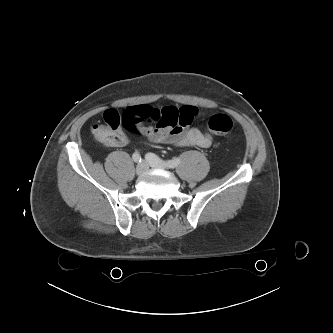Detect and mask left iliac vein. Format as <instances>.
<instances>
[{
	"label": "left iliac vein",
	"mask_w": 333,
	"mask_h": 333,
	"mask_svg": "<svg viewBox=\"0 0 333 333\" xmlns=\"http://www.w3.org/2000/svg\"><path fill=\"white\" fill-rule=\"evenodd\" d=\"M146 161L153 168H163V169L168 168V166L164 161H162L160 158H158L153 154L148 155L146 157Z\"/></svg>",
	"instance_id": "obj_1"
}]
</instances>
